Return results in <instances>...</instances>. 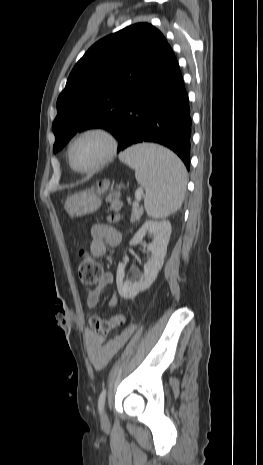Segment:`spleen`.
Listing matches in <instances>:
<instances>
[{"label": "spleen", "mask_w": 263, "mask_h": 465, "mask_svg": "<svg viewBox=\"0 0 263 465\" xmlns=\"http://www.w3.org/2000/svg\"><path fill=\"white\" fill-rule=\"evenodd\" d=\"M120 159L135 170L144 187L147 215L162 219L181 207L187 184V171L171 151L154 144H140L127 149Z\"/></svg>", "instance_id": "1"}]
</instances>
